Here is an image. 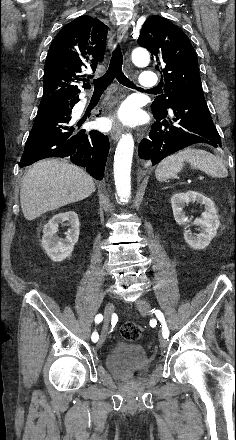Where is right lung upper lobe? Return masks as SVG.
<instances>
[{
    "label": "right lung upper lobe",
    "instance_id": "right-lung-upper-lobe-1",
    "mask_svg": "<svg viewBox=\"0 0 236 440\" xmlns=\"http://www.w3.org/2000/svg\"><path fill=\"white\" fill-rule=\"evenodd\" d=\"M108 27L98 19L81 16L65 25L52 41L44 66L41 103L78 98L77 84L92 78L103 60ZM83 87L90 88L89 83Z\"/></svg>",
    "mask_w": 236,
    "mask_h": 440
}]
</instances>
